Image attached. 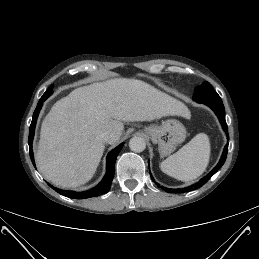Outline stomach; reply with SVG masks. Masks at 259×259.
Wrapping results in <instances>:
<instances>
[{"label": "stomach", "instance_id": "0dacf381", "mask_svg": "<svg viewBox=\"0 0 259 259\" xmlns=\"http://www.w3.org/2000/svg\"><path fill=\"white\" fill-rule=\"evenodd\" d=\"M153 143L158 144V151L162 157L170 155L177 145L186 138L184 125L176 119H167L161 125H150L145 128Z\"/></svg>", "mask_w": 259, "mask_h": 259}]
</instances>
